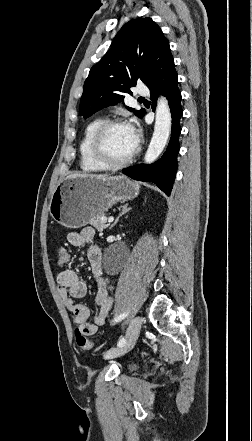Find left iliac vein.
<instances>
[{"label": "left iliac vein", "instance_id": "1", "mask_svg": "<svg viewBox=\"0 0 252 441\" xmlns=\"http://www.w3.org/2000/svg\"><path fill=\"white\" fill-rule=\"evenodd\" d=\"M141 325H142V318L140 316H136L135 318H133L126 332L125 344L119 348L108 350L107 352L104 353V358L113 359L129 352L136 343V340L141 330Z\"/></svg>", "mask_w": 252, "mask_h": 441}]
</instances>
